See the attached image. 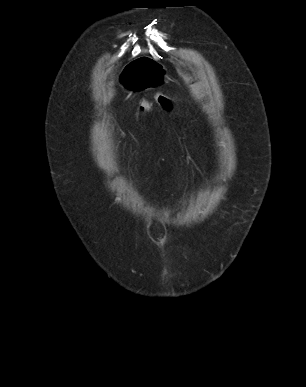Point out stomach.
I'll list each match as a JSON object with an SVG mask.
<instances>
[{"mask_svg":"<svg viewBox=\"0 0 306 387\" xmlns=\"http://www.w3.org/2000/svg\"><path fill=\"white\" fill-rule=\"evenodd\" d=\"M119 81L124 91H150L151 87H163L170 76L165 70V59H154L153 55H136L135 61H129L122 67Z\"/></svg>","mask_w":306,"mask_h":387,"instance_id":"stomach-1","label":"stomach"}]
</instances>
